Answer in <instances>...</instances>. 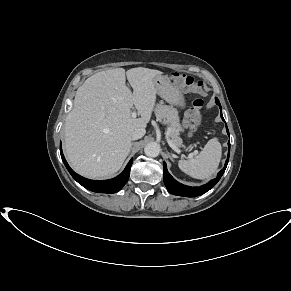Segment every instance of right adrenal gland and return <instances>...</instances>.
I'll list each match as a JSON object with an SVG mask.
<instances>
[{"label": "right adrenal gland", "instance_id": "1", "mask_svg": "<svg viewBox=\"0 0 291 291\" xmlns=\"http://www.w3.org/2000/svg\"><path fill=\"white\" fill-rule=\"evenodd\" d=\"M132 146H133V143H131V147H130V149L132 148Z\"/></svg>", "mask_w": 291, "mask_h": 291}]
</instances>
